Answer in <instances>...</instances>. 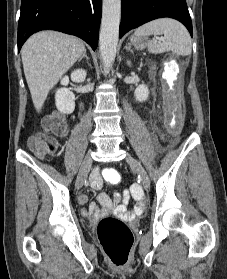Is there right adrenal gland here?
Instances as JSON below:
<instances>
[{"instance_id": "right-adrenal-gland-1", "label": "right adrenal gland", "mask_w": 227, "mask_h": 279, "mask_svg": "<svg viewBox=\"0 0 227 279\" xmlns=\"http://www.w3.org/2000/svg\"><path fill=\"white\" fill-rule=\"evenodd\" d=\"M83 58H86V60L89 61V57L87 56L86 49L84 50L83 55L78 59V62H80Z\"/></svg>"}]
</instances>
